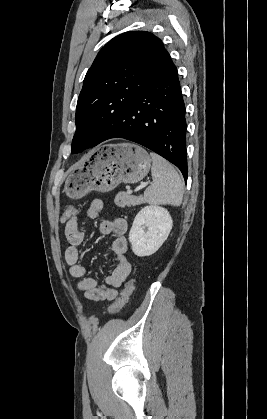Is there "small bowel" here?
<instances>
[{"label":"small bowel","instance_id":"obj_1","mask_svg":"<svg viewBox=\"0 0 267 419\" xmlns=\"http://www.w3.org/2000/svg\"><path fill=\"white\" fill-rule=\"evenodd\" d=\"M103 207V202L100 199L93 200L89 205L87 216L90 219L97 218L103 211ZM99 230L103 235L114 236L110 247L114 268L106 277L104 284L99 285L94 278L89 277L87 268L79 262V246L83 243L85 234L78 227L77 214L71 217L65 225V236L70 244L65 251V260L71 276L79 279L78 289L84 292L87 299L93 301L113 300L118 294L116 288L121 286L131 272V264L126 254L128 248L125 237L127 223L122 218L105 219L100 223Z\"/></svg>","mask_w":267,"mask_h":419}]
</instances>
